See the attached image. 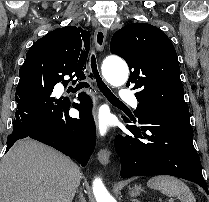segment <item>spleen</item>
Masks as SVG:
<instances>
[{
  "instance_id": "spleen-1",
  "label": "spleen",
  "mask_w": 209,
  "mask_h": 202,
  "mask_svg": "<svg viewBox=\"0 0 209 202\" xmlns=\"http://www.w3.org/2000/svg\"><path fill=\"white\" fill-rule=\"evenodd\" d=\"M147 186L161 191L169 197H178L181 202H196L189 187L181 180L171 176H155L148 180Z\"/></svg>"
}]
</instances>
